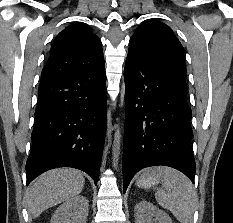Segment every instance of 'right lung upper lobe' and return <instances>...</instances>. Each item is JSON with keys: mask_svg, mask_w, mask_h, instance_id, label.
Instances as JSON below:
<instances>
[{"mask_svg": "<svg viewBox=\"0 0 233 223\" xmlns=\"http://www.w3.org/2000/svg\"><path fill=\"white\" fill-rule=\"evenodd\" d=\"M104 66L100 39L84 23L66 27L55 38L41 82L61 79Z\"/></svg>", "mask_w": 233, "mask_h": 223, "instance_id": "cb5924a9", "label": "right lung upper lobe"}]
</instances>
